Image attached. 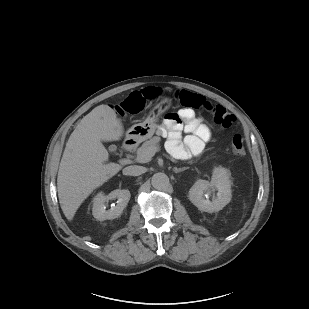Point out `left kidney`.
Listing matches in <instances>:
<instances>
[{"label":"left kidney","instance_id":"obj_1","mask_svg":"<svg viewBox=\"0 0 309 309\" xmlns=\"http://www.w3.org/2000/svg\"><path fill=\"white\" fill-rule=\"evenodd\" d=\"M217 191L210 201L206 196ZM232 198L230 173L226 168L215 167L211 182L199 179L189 191L190 201L200 210L208 213L217 212L225 207Z\"/></svg>","mask_w":309,"mask_h":309}]
</instances>
